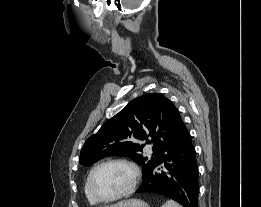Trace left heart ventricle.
Listing matches in <instances>:
<instances>
[{
    "label": "left heart ventricle",
    "mask_w": 261,
    "mask_h": 207,
    "mask_svg": "<svg viewBox=\"0 0 261 207\" xmlns=\"http://www.w3.org/2000/svg\"><path fill=\"white\" fill-rule=\"evenodd\" d=\"M131 181L130 168L122 164H110L97 171L94 187L100 197L109 198L126 190Z\"/></svg>",
    "instance_id": "b2bd125f"
}]
</instances>
